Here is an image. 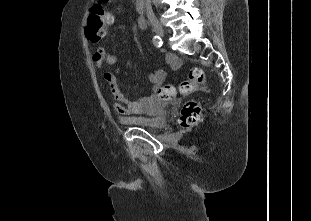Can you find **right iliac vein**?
<instances>
[{"label":"right iliac vein","mask_w":311,"mask_h":221,"mask_svg":"<svg viewBox=\"0 0 311 221\" xmlns=\"http://www.w3.org/2000/svg\"><path fill=\"white\" fill-rule=\"evenodd\" d=\"M151 24H152V27H153L154 31L156 32V34L160 37H164L165 32H164V29H163L161 23L154 20L151 22Z\"/></svg>","instance_id":"63e3f726"}]
</instances>
